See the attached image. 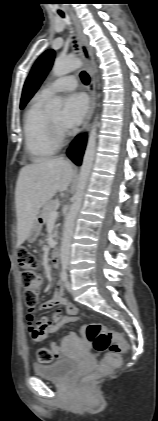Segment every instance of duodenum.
I'll use <instances>...</instances> for the list:
<instances>
[{
  "instance_id": "obj_1",
  "label": "duodenum",
  "mask_w": 158,
  "mask_h": 421,
  "mask_svg": "<svg viewBox=\"0 0 158 421\" xmlns=\"http://www.w3.org/2000/svg\"><path fill=\"white\" fill-rule=\"evenodd\" d=\"M61 261V253L59 250H56L52 253L51 263L54 267H58Z\"/></svg>"
}]
</instances>
